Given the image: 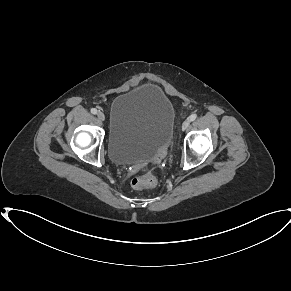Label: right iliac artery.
Segmentation results:
<instances>
[{"label": "right iliac artery", "instance_id": "right-iliac-artery-1", "mask_svg": "<svg viewBox=\"0 0 291 291\" xmlns=\"http://www.w3.org/2000/svg\"><path fill=\"white\" fill-rule=\"evenodd\" d=\"M91 113H92V114H97V109L92 108V109H91Z\"/></svg>", "mask_w": 291, "mask_h": 291}]
</instances>
